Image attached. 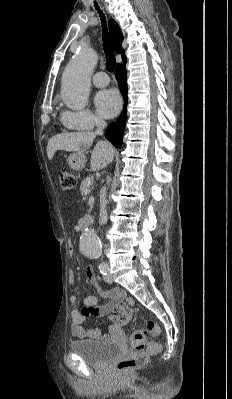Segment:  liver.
<instances>
[{"label":"liver","instance_id":"1","mask_svg":"<svg viewBox=\"0 0 232 399\" xmlns=\"http://www.w3.org/2000/svg\"><path fill=\"white\" fill-rule=\"evenodd\" d=\"M96 134L93 132H73V134H57L50 138L47 146L48 160H52L57 150L65 152H85L93 144ZM115 156L113 146L108 142H97L90 160L91 172L106 168Z\"/></svg>","mask_w":232,"mask_h":399}]
</instances>
